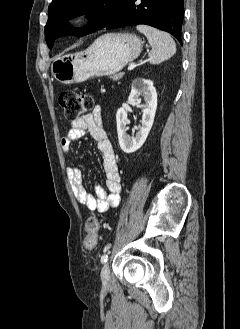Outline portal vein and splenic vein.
<instances>
[{"label": "portal vein and splenic vein", "mask_w": 240, "mask_h": 329, "mask_svg": "<svg viewBox=\"0 0 240 329\" xmlns=\"http://www.w3.org/2000/svg\"><path fill=\"white\" fill-rule=\"evenodd\" d=\"M135 67H136V63H131V64L128 66V71L133 70Z\"/></svg>", "instance_id": "1"}]
</instances>
